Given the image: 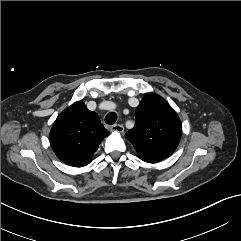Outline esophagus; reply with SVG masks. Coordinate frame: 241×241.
<instances>
[{"instance_id": "1", "label": "esophagus", "mask_w": 241, "mask_h": 241, "mask_svg": "<svg viewBox=\"0 0 241 241\" xmlns=\"http://www.w3.org/2000/svg\"><path fill=\"white\" fill-rule=\"evenodd\" d=\"M110 130L112 132L122 133L124 131V127L121 124H115L111 126Z\"/></svg>"}]
</instances>
